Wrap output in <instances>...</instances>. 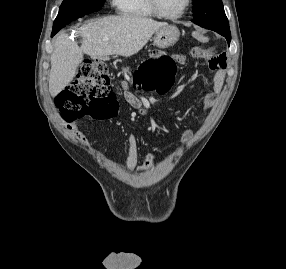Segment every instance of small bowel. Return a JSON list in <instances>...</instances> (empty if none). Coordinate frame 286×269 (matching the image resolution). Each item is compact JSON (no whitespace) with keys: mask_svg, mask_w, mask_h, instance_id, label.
Returning a JSON list of instances; mask_svg holds the SVG:
<instances>
[{"mask_svg":"<svg viewBox=\"0 0 286 269\" xmlns=\"http://www.w3.org/2000/svg\"><path fill=\"white\" fill-rule=\"evenodd\" d=\"M197 48H192L189 51V56L196 60H206L208 66L214 71L212 92L207 94L204 98L203 108L204 111H210L214 107L215 97L221 91L227 66V57L225 54H214L209 49H203L196 51ZM175 60L178 64H184L186 57L183 54L175 55ZM123 93H132V88H123ZM125 99H136V94H125ZM129 106H134V110H145L146 106L142 105V101H129ZM140 120H153V123H166L169 119L168 111H139ZM184 140L188 141L191 137V131L186 130L183 134ZM128 150L126 157V168L133 172L138 167L139 160V147L138 139L134 134H130L127 138ZM155 154L153 152L148 153L143 161V169L149 170L154 161Z\"/></svg>","mask_w":286,"mask_h":269,"instance_id":"small-bowel-1","label":"small bowel"}]
</instances>
